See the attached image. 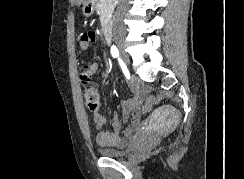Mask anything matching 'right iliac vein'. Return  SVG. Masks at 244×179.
<instances>
[{
	"label": "right iliac vein",
	"mask_w": 244,
	"mask_h": 179,
	"mask_svg": "<svg viewBox=\"0 0 244 179\" xmlns=\"http://www.w3.org/2000/svg\"><path fill=\"white\" fill-rule=\"evenodd\" d=\"M117 48L119 49V51L121 53L122 60L126 64H129V57H128L127 53L124 51V44H123V42H118L117 43Z\"/></svg>",
	"instance_id": "obj_1"
}]
</instances>
